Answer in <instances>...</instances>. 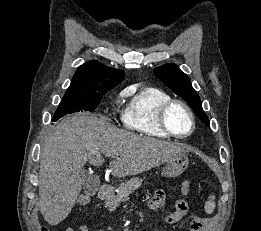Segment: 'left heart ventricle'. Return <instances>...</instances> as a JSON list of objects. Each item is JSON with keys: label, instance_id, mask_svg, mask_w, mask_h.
Listing matches in <instances>:
<instances>
[{"label": "left heart ventricle", "instance_id": "b2bd125f", "mask_svg": "<svg viewBox=\"0 0 261 231\" xmlns=\"http://www.w3.org/2000/svg\"><path fill=\"white\" fill-rule=\"evenodd\" d=\"M167 120L171 130L177 134H186L191 128V120L187 111L179 105H175L169 110Z\"/></svg>", "mask_w": 261, "mask_h": 231}]
</instances>
